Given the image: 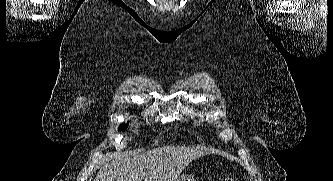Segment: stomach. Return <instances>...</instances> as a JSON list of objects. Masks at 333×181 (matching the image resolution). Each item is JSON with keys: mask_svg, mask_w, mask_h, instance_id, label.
Instances as JSON below:
<instances>
[{"mask_svg": "<svg viewBox=\"0 0 333 181\" xmlns=\"http://www.w3.org/2000/svg\"><path fill=\"white\" fill-rule=\"evenodd\" d=\"M175 181H196L191 174H183L178 177Z\"/></svg>", "mask_w": 333, "mask_h": 181, "instance_id": "stomach-1", "label": "stomach"}]
</instances>
